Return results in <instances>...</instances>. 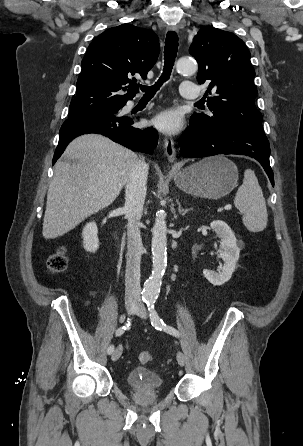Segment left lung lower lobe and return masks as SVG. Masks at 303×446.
<instances>
[{"mask_svg":"<svg viewBox=\"0 0 303 446\" xmlns=\"http://www.w3.org/2000/svg\"><path fill=\"white\" fill-rule=\"evenodd\" d=\"M179 144L183 157L241 154L255 158L274 186V176L269 163L270 147L266 137L241 133L220 125H201L190 121V126Z\"/></svg>","mask_w":303,"mask_h":446,"instance_id":"1","label":"left lung lower lobe"}]
</instances>
